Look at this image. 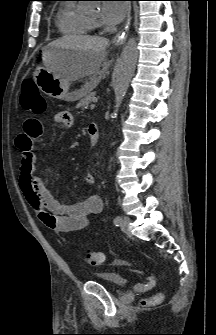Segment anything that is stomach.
Instances as JSON below:
<instances>
[{
	"instance_id": "obj_1",
	"label": "stomach",
	"mask_w": 216,
	"mask_h": 335,
	"mask_svg": "<svg viewBox=\"0 0 216 335\" xmlns=\"http://www.w3.org/2000/svg\"><path fill=\"white\" fill-rule=\"evenodd\" d=\"M77 50L65 47L46 46L42 49L43 67L34 72V81L46 95L73 102L82 97V89L70 92V80L61 73L70 63Z\"/></svg>"
}]
</instances>
